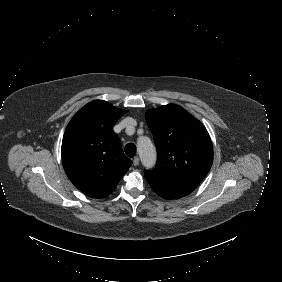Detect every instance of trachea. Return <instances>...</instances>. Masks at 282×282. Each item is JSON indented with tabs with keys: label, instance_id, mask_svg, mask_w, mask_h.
<instances>
[{
	"label": "trachea",
	"instance_id": "1",
	"mask_svg": "<svg viewBox=\"0 0 282 282\" xmlns=\"http://www.w3.org/2000/svg\"><path fill=\"white\" fill-rule=\"evenodd\" d=\"M125 153L128 157L132 158L136 154V145L133 143H128L125 146Z\"/></svg>",
	"mask_w": 282,
	"mask_h": 282
}]
</instances>
